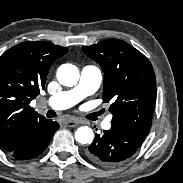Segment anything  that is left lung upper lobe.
<instances>
[{
    "label": "left lung upper lobe",
    "mask_w": 183,
    "mask_h": 183,
    "mask_svg": "<svg viewBox=\"0 0 183 183\" xmlns=\"http://www.w3.org/2000/svg\"><path fill=\"white\" fill-rule=\"evenodd\" d=\"M104 72L103 102H111V123L147 136L152 124L156 78L149 60L128 43L110 39L84 46Z\"/></svg>",
    "instance_id": "1"
}]
</instances>
